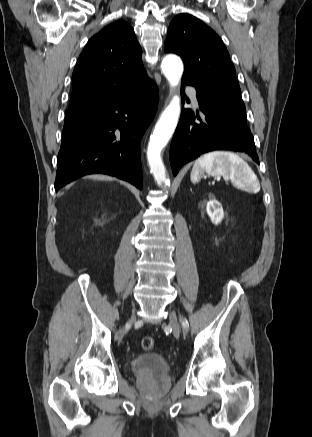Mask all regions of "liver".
<instances>
[{"label":"liver","mask_w":312,"mask_h":437,"mask_svg":"<svg viewBox=\"0 0 312 437\" xmlns=\"http://www.w3.org/2000/svg\"><path fill=\"white\" fill-rule=\"evenodd\" d=\"M87 178L93 179V180H113L111 177L104 176V175H93V176H89Z\"/></svg>","instance_id":"1"}]
</instances>
